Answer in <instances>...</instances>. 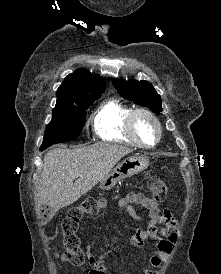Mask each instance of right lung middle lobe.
<instances>
[{"instance_id": "dd1d6c3e", "label": "right lung middle lobe", "mask_w": 221, "mask_h": 274, "mask_svg": "<svg viewBox=\"0 0 221 274\" xmlns=\"http://www.w3.org/2000/svg\"><path fill=\"white\" fill-rule=\"evenodd\" d=\"M100 97L101 94H96L56 103L40 150H44L54 143L67 142L76 138L84 126L86 110Z\"/></svg>"}]
</instances>
